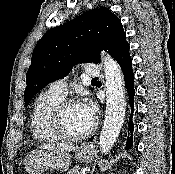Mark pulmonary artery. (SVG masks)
<instances>
[{
	"instance_id": "e3ab8cb5",
	"label": "pulmonary artery",
	"mask_w": 175,
	"mask_h": 174,
	"mask_svg": "<svg viewBox=\"0 0 175 174\" xmlns=\"http://www.w3.org/2000/svg\"><path fill=\"white\" fill-rule=\"evenodd\" d=\"M84 73L86 76L95 77L100 75V69L95 64L89 63L85 65ZM50 90L60 96L65 97L68 91V86L66 81L58 80L50 85Z\"/></svg>"
}]
</instances>
